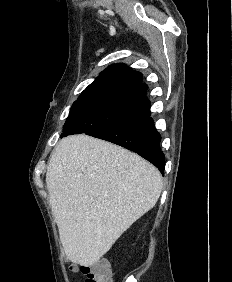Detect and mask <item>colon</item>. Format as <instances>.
<instances>
[{
    "mask_svg": "<svg viewBox=\"0 0 232 282\" xmlns=\"http://www.w3.org/2000/svg\"><path fill=\"white\" fill-rule=\"evenodd\" d=\"M73 269L78 268L73 267ZM79 270L85 276V282H113L111 266L107 259L81 264Z\"/></svg>",
    "mask_w": 232,
    "mask_h": 282,
    "instance_id": "1",
    "label": "colon"
}]
</instances>
